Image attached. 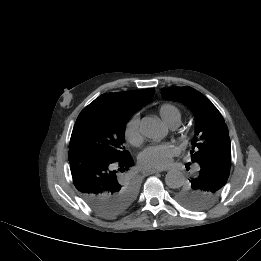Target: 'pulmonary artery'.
<instances>
[{"label": "pulmonary artery", "instance_id": "e3ab8cb5", "mask_svg": "<svg viewBox=\"0 0 261 261\" xmlns=\"http://www.w3.org/2000/svg\"><path fill=\"white\" fill-rule=\"evenodd\" d=\"M180 122L179 121H173V122H170L168 124V126L172 129H175L179 126ZM195 170H198V167L195 168Z\"/></svg>", "mask_w": 261, "mask_h": 261}]
</instances>
